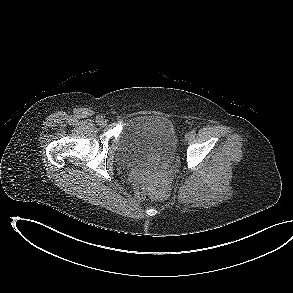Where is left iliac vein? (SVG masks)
Returning a JSON list of instances; mask_svg holds the SVG:
<instances>
[{"label": "left iliac vein", "instance_id": "4c4485c4", "mask_svg": "<svg viewBox=\"0 0 293 293\" xmlns=\"http://www.w3.org/2000/svg\"><path fill=\"white\" fill-rule=\"evenodd\" d=\"M190 136H191L190 132H189V133H186V134H185V139H186V140L189 139Z\"/></svg>", "mask_w": 293, "mask_h": 293}]
</instances>
